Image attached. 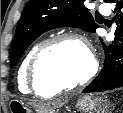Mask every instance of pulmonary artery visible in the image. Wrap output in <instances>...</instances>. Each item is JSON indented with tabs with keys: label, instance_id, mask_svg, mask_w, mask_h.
Instances as JSON below:
<instances>
[{
	"label": "pulmonary artery",
	"instance_id": "obj_1",
	"mask_svg": "<svg viewBox=\"0 0 123 113\" xmlns=\"http://www.w3.org/2000/svg\"><path fill=\"white\" fill-rule=\"evenodd\" d=\"M100 11L105 14V15H108L110 13V8L108 7V5H101L100 7Z\"/></svg>",
	"mask_w": 123,
	"mask_h": 113
}]
</instances>
